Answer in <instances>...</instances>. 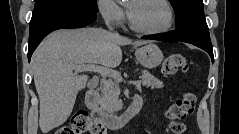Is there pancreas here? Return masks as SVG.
Listing matches in <instances>:
<instances>
[{"label": "pancreas", "instance_id": "cf45deb5", "mask_svg": "<svg viewBox=\"0 0 239 134\" xmlns=\"http://www.w3.org/2000/svg\"><path fill=\"white\" fill-rule=\"evenodd\" d=\"M143 86L152 89H160L163 87V82L155 78L149 72H142L141 75ZM101 106L108 113H114L122 108V101L119 99L120 87L119 81H106L101 87Z\"/></svg>", "mask_w": 239, "mask_h": 134}]
</instances>
